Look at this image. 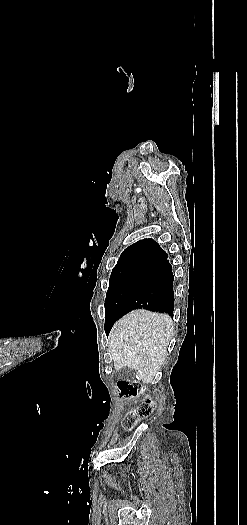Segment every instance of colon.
I'll return each instance as SVG.
<instances>
[{"label":"colon","mask_w":247,"mask_h":525,"mask_svg":"<svg viewBox=\"0 0 247 525\" xmlns=\"http://www.w3.org/2000/svg\"><path fill=\"white\" fill-rule=\"evenodd\" d=\"M119 394L124 398H136L143 393V385L129 380H121L118 383ZM152 402L149 398L143 400L135 409L128 412L124 425L127 429L133 428L140 420L150 416Z\"/></svg>","instance_id":"5ec220e1"}]
</instances>
